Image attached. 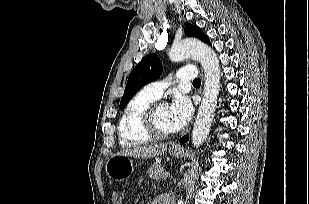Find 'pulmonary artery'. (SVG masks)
<instances>
[{
  "instance_id": "obj_1",
  "label": "pulmonary artery",
  "mask_w": 309,
  "mask_h": 204,
  "mask_svg": "<svg viewBox=\"0 0 309 204\" xmlns=\"http://www.w3.org/2000/svg\"><path fill=\"white\" fill-rule=\"evenodd\" d=\"M175 78L177 81L195 80L197 78V71L193 67H183L176 72ZM169 84L170 81H154L147 84L144 87V91L155 98H159Z\"/></svg>"
}]
</instances>
